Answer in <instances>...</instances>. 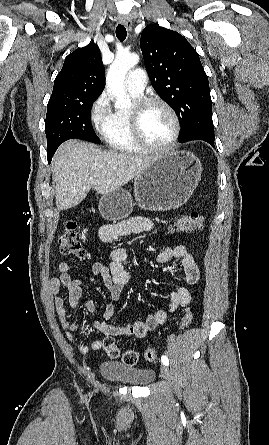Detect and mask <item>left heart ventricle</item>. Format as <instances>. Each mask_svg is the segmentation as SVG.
<instances>
[{
    "label": "left heart ventricle",
    "mask_w": 269,
    "mask_h": 445,
    "mask_svg": "<svg viewBox=\"0 0 269 445\" xmlns=\"http://www.w3.org/2000/svg\"><path fill=\"white\" fill-rule=\"evenodd\" d=\"M142 133L153 146L165 144L173 133V121L168 112L161 106L149 107L142 116Z\"/></svg>",
    "instance_id": "1"
}]
</instances>
